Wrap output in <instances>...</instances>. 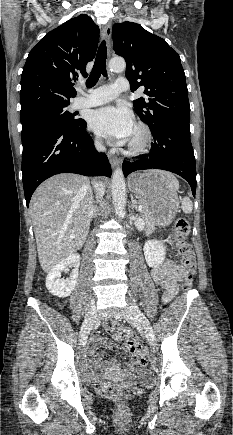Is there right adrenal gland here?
<instances>
[{
	"instance_id": "1",
	"label": "right adrenal gland",
	"mask_w": 233,
	"mask_h": 435,
	"mask_svg": "<svg viewBox=\"0 0 233 435\" xmlns=\"http://www.w3.org/2000/svg\"><path fill=\"white\" fill-rule=\"evenodd\" d=\"M97 215H98V208H97V206H95L94 211L91 215L90 221H92L93 218H97Z\"/></svg>"
}]
</instances>
